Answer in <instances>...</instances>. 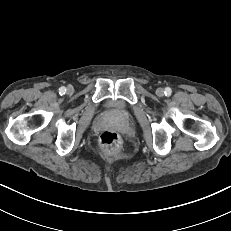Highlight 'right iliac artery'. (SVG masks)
<instances>
[{"mask_svg": "<svg viewBox=\"0 0 231 231\" xmlns=\"http://www.w3.org/2000/svg\"><path fill=\"white\" fill-rule=\"evenodd\" d=\"M65 92H66V88L64 86H62L61 88H59V93L61 95L65 94Z\"/></svg>", "mask_w": 231, "mask_h": 231, "instance_id": "obj_1", "label": "right iliac artery"}]
</instances>
